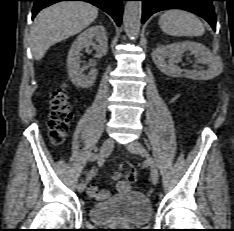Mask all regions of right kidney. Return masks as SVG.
<instances>
[{"mask_svg": "<svg viewBox=\"0 0 234 231\" xmlns=\"http://www.w3.org/2000/svg\"><path fill=\"white\" fill-rule=\"evenodd\" d=\"M90 47L96 50L99 57L106 55L108 43L104 26L96 25L86 29L76 38L69 50L67 57L68 75L72 83L78 88L88 89L92 87L97 77L95 68L90 69L88 75H84L83 71L87 70V66L80 65L81 51Z\"/></svg>", "mask_w": 234, "mask_h": 231, "instance_id": "1", "label": "right kidney"}]
</instances>
